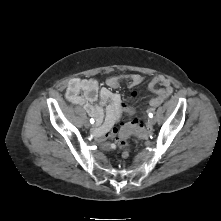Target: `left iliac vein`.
Wrapping results in <instances>:
<instances>
[{
	"instance_id": "left-iliac-vein-1",
	"label": "left iliac vein",
	"mask_w": 221,
	"mask_h": 221,
	"mask_svg": "<svg viewBox=\"0 0 221 221\" xmlns=\"http://www.w3.org/2000/svg\"><path fill=\"white\" fill-rule=\"evenodd\" d=\"M155 122H156L155 118H151V119H149V121H148V125L152 126V125L155 124Z\"/></svg>"
}]
</instances>
